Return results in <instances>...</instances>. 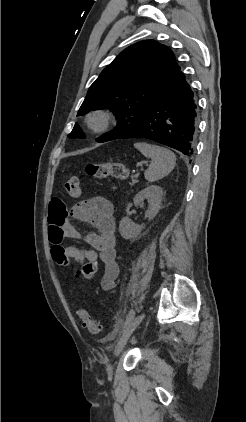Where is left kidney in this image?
Listing matches in <instances>:
<instances>
[{
  "label": "left kidney",
  "mask_w": 246,
  "mask_h": 422,
  "mask_svg": "<svg viewBox=\"0 0 246 422\" xmlns=\"http://www.w3.org/2000/svg\"><path fill=\"white\" fill-rule=\"evenodd\" d=\"M148 201V209L146 211V217L148 220H152L159 212L161 201H162V189L157 185L147 186L145 189L138 192L133 198V202L136 205L143 206L144 200ZM145 225H137L130 218L124 217L121 219L119 224V232L124 239H135L137 238Z\"/></svg>",
  "instance_id": "obj_1"
}]
</instances>
